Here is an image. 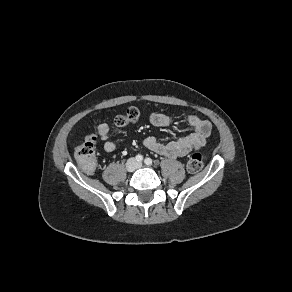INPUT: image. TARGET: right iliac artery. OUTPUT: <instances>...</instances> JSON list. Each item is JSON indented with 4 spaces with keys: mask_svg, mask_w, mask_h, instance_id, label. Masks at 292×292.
<instances>
[{
    "mask_svg": "<svg viewBox=\"0 0 292 292\" xmlns=\"http://www.w3.org/2000/svg\"><path fill=\"white\" fill-rule=\"evenodd\" d=\"M135 159H136L137 162H142V160H143V156L140 155V154H138V155L135 157Z\"/></svg>",
    "mask_w": 292,
    "mask_h": 292,
    "instance_id": "obj_1",
    "label": "right iliac artery"
}]
</instances>
